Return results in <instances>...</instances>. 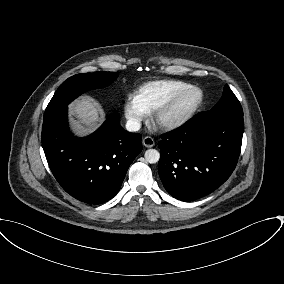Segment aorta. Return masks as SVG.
Instances as JSON below:
<instances>
[{
  "label": "aorta",
  "mask_w": 284,
  "mask_h": 284,
  "mask_svg": "<svg viewBox=\"0 0 284 284\" xmlns=\"http://www.w3.org/2000/svg\"><path fill=\"white\" fill-rule=\"evenodd\" d=\"M144 157L148 163L154 164L159 161L160 153L156 149H148L146 150Z\"/></svg>",
  "instance_id": "aorta-1"
}]
</instances>
